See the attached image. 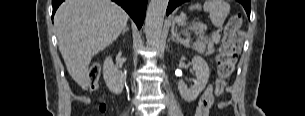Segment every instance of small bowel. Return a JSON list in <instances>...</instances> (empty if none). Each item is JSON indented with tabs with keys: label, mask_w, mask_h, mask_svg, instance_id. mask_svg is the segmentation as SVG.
<instances>
[{
	"label": "small bowel",
	"mask_w": 305,
	"mask_h": 116,
	"mask_svg": "<svg viewBox=\"0 0 305 116\" xmlns=\"http://www.w3.org/2000/svg\"><path fill=\"white\" fill-rule=\"evenodd\" d=\"M214 103L213 89L209 85L200 97L198 106L196 108L195 116H209V111ZM225 103H220L219 107L222 108Z\"/></svg>",
	"instance_id": "small-bowel-1"
}]
</instances>
